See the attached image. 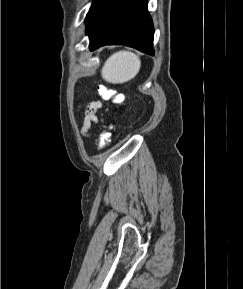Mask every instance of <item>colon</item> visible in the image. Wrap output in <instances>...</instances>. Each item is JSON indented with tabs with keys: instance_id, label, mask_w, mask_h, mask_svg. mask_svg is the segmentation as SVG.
<instances>
[{
	"instance_id": "5ec220e1",
	"label": "colon",
	"mask_w": 243,
	"mask_h": 289,
	"mask_svg": "<svg viewBox=\"0 0 243 289\" xmlns=\"http://www.w3.org/2000/svg\"><path fill=\"white\" fill-rule=\"evenodd\" d=\"M99 96L106 100L111 101L112 103H120L122 101V95L117 93L114 89L105 86L99 85L97 87ZM112 125H108L100 134L98 148L103 149L111 140V133Z\"/></svg>"
}]
</instances>
